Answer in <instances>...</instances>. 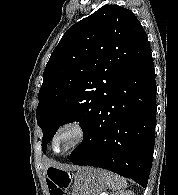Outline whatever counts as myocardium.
<instances>
[{
    "label": "myocardium",
    "instance_id": "f54148a6",
    "mask_svg": "<svg viewBox=\"0 0 178 195\" xmlns=\"http://www.w3.org/2000/svg\"><path fill=\"white\" fill-rule=\"evenodd\" d=\"M63 132H72L74 134V140L71 145L62 152L55 150V142L57 137ZM86 130L82 124L77 121H69L62 124L54 133L51 140V148L56 154H66L77 148L84 140Z\"/></svg>",
    "mask_w": 178,
    "mask_h": 195
}]
</instances>
